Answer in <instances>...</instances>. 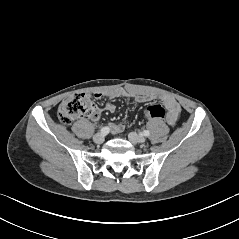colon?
Segmentation results:
<instances>
[{"instance_id":"1","label":"colon","mask_w":239,"mask_h":239,"mask_svg":"<svg viewBox=\"0 0 239 239\" xmlns=\"http://www.w3.org/2000/svg\"><path fill=\"white\" fill-rule=\"evenodd\" d=\"M96 111L95 104L86 94H72L66 97L58 108V118L69 125L73 120L81 116H92ZM144 115L149 119H163L166 117V110L159 104L148 105L144 109Z\"/></svg>"}]
</instances>
